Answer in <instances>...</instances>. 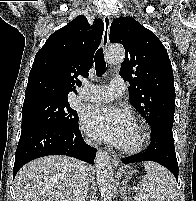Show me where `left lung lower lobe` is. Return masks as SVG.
I'll list each match as a JSON object with an SVG mask.
<instances>
[{"label":"left lung lower lobe","mask_w":196,"mask_h":201,"mask_svg":"<svg viewBox=\"0 0 196 201\" xmlns=\"http://www.w3.org/2000/svg\"><path fill=\"white\" fill-rule=\"evenodd\" d=\"M154 161L170 170L178 180V163L175 154L172 126L153 128L151 131V143L148 149L140 154L123 158L125 164Z\"/></svg>","instance_id":"0a47b994"}]
</instances>
